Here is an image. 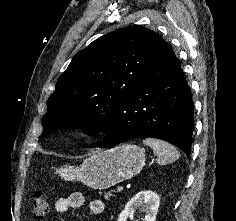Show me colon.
Returning a JSON list of instances; mask_svg holds the SVG:
<instances>
[{
    "label": "colon",
    "instance_id": "1",
    "mask_svg": "<svg viewBox=\"0 0 236 221\" xmlns=\"http://www.w3.org/2000/svg\"><path fill=\"white\" fill-rule=\"evenodd\" d=\"M33 214L35 217H43L48 210V200L46 195L38 191L32 198Z\"/></svg>",
    "mask_w": 236,
    "mask_h": 221
}]
</instances>
